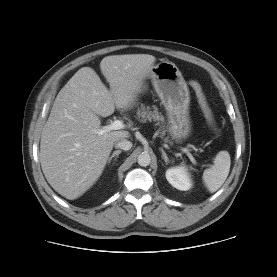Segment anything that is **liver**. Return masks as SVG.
Segmentation results:
<instances>
[{
	"label": "liver",
	"mask_w": 277,
	"mask_h": 277,
	"mask_svg": "<svg viewBox=\"0 0 277 277\" xmlns=\"http://www.w3.org/2000/svg\"><path fill=\"white\" fill-rule=\"evenodd\" d=\"M156 58L148 54L107 56L100 62L108 89L91 67L79 69L58 93L40 141V163L50 186L73 200L101 176L116 141L130 136L118 130L98 134L99 116L131 107Z\"/></svg>",
	"instance_id": "1"
}]
</instances>
